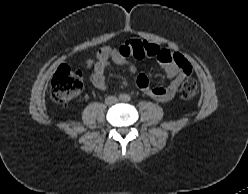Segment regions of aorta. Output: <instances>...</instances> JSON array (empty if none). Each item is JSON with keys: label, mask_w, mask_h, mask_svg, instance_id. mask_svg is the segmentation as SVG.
I'll return each mask as SVG.
<instances>
[{"label": "aorta", "mask_w": 248, "mask_h": 194, "mask_svg": "<svg viewBox=\"0 0 248 194\" xmlns=\"http://www.w3.org/2000/svg\"><path fill=\"white\" fill-rule=\"evenodd\" d=\"M123 99H127V96H123Z\"/></svg>", "instance_id": "1"}]
</instances>
